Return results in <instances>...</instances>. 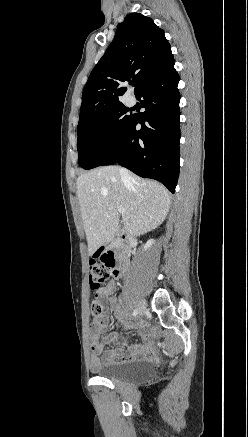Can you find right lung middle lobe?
Wrapping results in <instances>:
<instances>
[{
  "instance_id": "obj_1",
  "label": "right lung middle lobe",
  "mask_w": 248,
  "mask_h": 437,
  "mask_svg": "<svg viewBox=\"0 0 248 437\" xmlns=\"http://www.w3.org/2000/svg\"><path fill=\"white\" fill-rule=\"evenodd\" d=\"M122 103L97 113L78 125V161L84 169H91L115 145L132 114Z\"/></svg>"
}]
</instances>
